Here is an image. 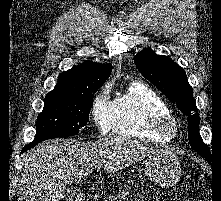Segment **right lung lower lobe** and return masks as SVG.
Returning a JSON list of instances; mask_svg holds the SVG:
<instances>
[{
  "mask_svg": "<svg viewBox=\"0 0 221 201\" xmlns=\"http://www.w3.org/2000/svg\"><path fill=\"white\" fill-rule=\"evenodd\" d=\"M54 137H56V136H50V137H46V138H42V139H38V140H33L30 144L26 145V146L22 149L21 153L25 152V151L28 150V149L33 148V147L36 146L38 143H40V142H42V141H44V140H46V139H50V138H54ZM65 137H70V136H65Z\"/></svg>",
  "mask_w": 221,
  "mask_h": 201,
  "instance_id": "obj_1",
  "label": "right lung lower lobe"
}]
</instances>
